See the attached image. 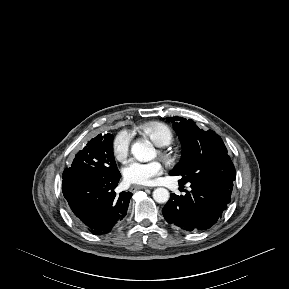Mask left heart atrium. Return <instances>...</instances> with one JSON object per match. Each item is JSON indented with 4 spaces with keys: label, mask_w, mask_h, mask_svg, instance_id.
Here are the masks:
<instances>
[{
    "label": "left heart atrium",
    "mask_w": 289,
    "mask_h": 289,
    "mask_svg": "<svg viewBox=\"0 0 289 289\" xmlns=\"http://www.w3.org/2000/svg\"><path fill=\"white\" fill-rule=\"evenodd\" d=\"M163 172L162 164L157 161H130L123 169V177L129 184L150 185L153 179Z\"/></svg>",
    "instance_id": "obj_1"
}]
</instances>
